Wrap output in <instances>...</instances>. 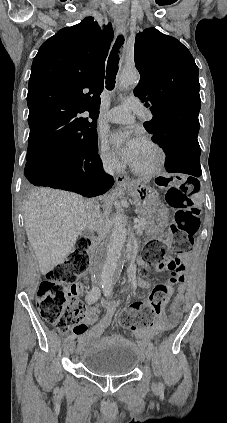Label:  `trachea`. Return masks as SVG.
Returning <instances> with one entry per match:
<instances>
[{
    "label": "trachea",
    "mask_w": 227,
    "mask_h": 423,
    "mask_svg": "<svg viewBox=\"0 0 227 423\" xmlns=\"http://www.w3.org/2000/svg\"><path fill=\"white\" fill-rule=\"evenodd\" d=\"M123 43L124 37L123 35H119L109 55L105 82L107 90H113V88L115 87L116 75L119 67V50Z\"/></svg>",
    "instance_id": "1"
}]
</instances>
